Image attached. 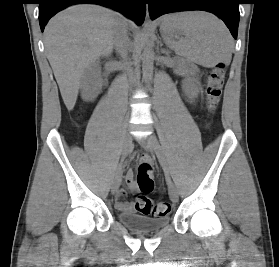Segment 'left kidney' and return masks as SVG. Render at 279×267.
<instances>
[{"mask_svg": "<svg viewBox=\"0 0 279 267\" xmlns=\"http://www.w3.org/2000/svg\"><path fill=\"white\" fill-rule=\"evenodd\" d=\"M184 86L187 90H190L192 92H198L199 91L198 83L193 78H190V77L186 78Z\"/></svg>", "mask_w": 279, "mask_h": 267, "instance_id": "left-kidney-1", "label": "left kidney"}]
</instances>
